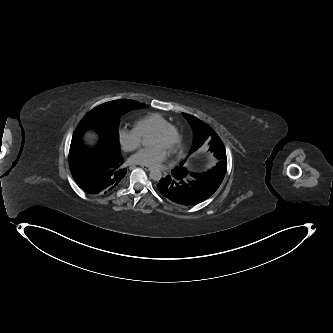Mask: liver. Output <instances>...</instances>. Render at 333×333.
<instances>
[{
  "label": "liver",
  "instance_id": "6515ba94",
  "mask_svg": "<svg viewBox=\"0 0 333 333\" xmlns=\"http://www.w3.org/2000/svg\"><path fill=\"white\" fill-rule=\"evenodd\" d=\"M85 138L89 140L91 143H94L96 139V134L94 132H87Z\"/></svg>",
  "mask_w": 333,
  "mask_h": 333
}]
</instances>
